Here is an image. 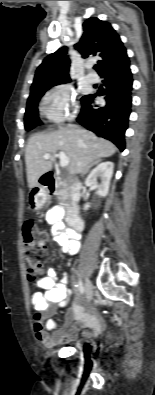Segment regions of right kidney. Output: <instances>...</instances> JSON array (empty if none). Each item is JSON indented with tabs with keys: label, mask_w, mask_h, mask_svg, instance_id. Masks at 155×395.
Returning <instances> with one entry per match:
<instances>
[{
	"label": "right kidney",
	"mask_w": 155,
	"mask_h": 395,
	"mask_svg": "<svg viewBox=\"0 0 155 395\" xmlns=\"http://www.w3.org/2000/svg\"><path fill=\"white\" fill-rule=\"evenodd\" d=\"M114 164L112 162H102L96 166L86 178L85 184L97 188V194L100 197H106L109 191L110 180L113 175ZM101 182H97V178Z\"/></svg>",
	"instance_id": "obj_1"
}]
</instances>
